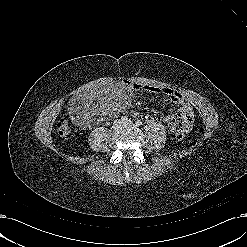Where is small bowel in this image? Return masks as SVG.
<instances>
[{
  "mask_svg": "<svg viewBox=\"0 0 247 247\" xmlns=\"http://www.w3.org/2000/svg\"><path fill=\"white\" fill-rule=\"evenodd\" d=\"M140 90H146L154 93H163L169 96L171 101L178 107L176 117H166L164 120L171 130L190 131L194 121V111L186 97L180 92L159 85H140ZM154 118V116H152Z\"/></svg>",
  "mask_w": 247,
  "mask_h": 247,
  "instance_id": "c3829d8e",
  "label": "small bowel"
}]
</instances>
